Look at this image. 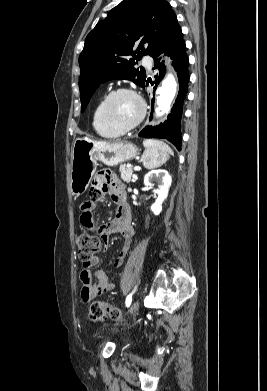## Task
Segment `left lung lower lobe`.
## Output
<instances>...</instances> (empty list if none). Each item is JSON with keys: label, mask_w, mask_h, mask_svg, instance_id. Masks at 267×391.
Masks as SVG:
<instances>
[{"label": "left lung lower lobe", "mask_w": 267, "mask_h": 391, "mask_svg": "<svg viewBox=\"0 0 267 391\" xmlns=\"http://www.w3.org/2000/svg\"><path fill=\"white\" fill-rule=\"evenodd\" d=\"M186 45L182 38L180 26H176L166 40L157 46L151 53L155 62V68L159 75L155 76V84H159L164 77L165 66L162 61V54L170 56L173 60V66L177 71L179 80V92L177 99L164 123L152 128L147 126L140 133V137L145 138H163L173 143L178 150H181V115L183 102L187 94L189 72H188V56L185 51ZM154 84L153 82L151 83ZM148 85V81L143 87ZM154 102V99H153Z\"/></svg>", "instance_id": "1"}]
</instances>
